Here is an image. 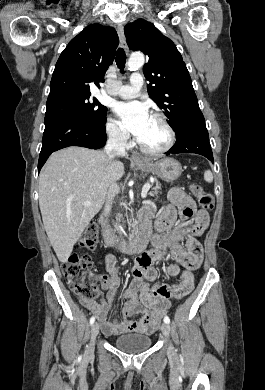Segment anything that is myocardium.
<instances>
[{
    "label": "myocardium",
    "instance_id": "1",
    "mask_svg": "<svg viewBox=\"0 0 265 390\" xmlns=\"http://www.w3.org/2000/svg\"><path fill=\"white\" fill-rule=\"evenodd\" d=\"M151 117L155 118L156 120H158L162 124V126L164 127V129L167 132L168 139H167L165 145L162 146L161 148H158V149H151V148L144 146L139 141V139H137V145H138L139 149L145 154L152 155V156L162 155V154L168 152L173 147V145L175 144V141H176V134H175L173 127L171 126V124L169 123V121L166 119V117L164 115H162L160 113H153L151 115Z\"/></svg>",
    "mask_w": 265,
    "mask_h": 390
}]
</instances>
